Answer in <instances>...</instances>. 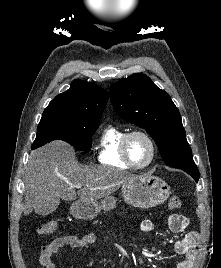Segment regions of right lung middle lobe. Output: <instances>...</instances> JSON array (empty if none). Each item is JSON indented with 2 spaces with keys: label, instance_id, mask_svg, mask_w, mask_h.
Listing matches in <instances>:
<instances>
[{
  "label": "right lung middle lobe",
  "instance_id": "1",
  "mask_svg": "<svg viewBox=\"0 0 221 268\" xmlns=\"http://www.w3.org/2000/svg\"><path fill=\"white\" fill-rule=\"evenodd\" d=\"M98 126V120L81 119L60 112H44L32 149L53 140H63L79 150L88 152L92 145L91 136Z\"/></svg>",
  "mask_w": 221,
  "mask_h": 268
}]
</instances>
